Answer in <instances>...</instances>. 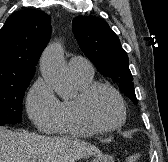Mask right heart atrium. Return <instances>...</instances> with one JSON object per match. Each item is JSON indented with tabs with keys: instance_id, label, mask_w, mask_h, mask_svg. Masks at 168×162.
<instances>
[{
	"instance_id": "obj_1",
	"label": "right heart atrium",
	"mask_w": 168,
	"mask_h": 162,
	"mask_svg": "<svg viewBox=\"0 0 168 162\" xmlns=\"http://www.w3.org/2000/svg\"><path fill=\"white\" fill-rule=\"evenodd\" d=\"M26 108L31 120L42 132H51L61 120V102L50 84L41 77L28 91Z\"/></svg>"
}]
</instances>
